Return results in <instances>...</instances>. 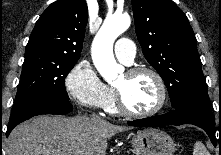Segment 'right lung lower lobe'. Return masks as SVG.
Instances as JSON below:
<instances>
[{"label":"right lung lower lobe","mask_w":221,"mask_h":155,"mask_svg":"<svg viewBox=\"0 0 221 155\" xmlns=\"http://www.w3.org/2000/svg\"><path fill=\"white\" fill-rule=\"evenodd\" d=\"M72 109L73 107L69 100H60L51 97L35 98L28 102L20 110L12 114L7 127L6 136L9 135L16 125L33 116L41 114L64 115L71 112Z\"/></svg>","instance_id":"1"}]
</instances>
